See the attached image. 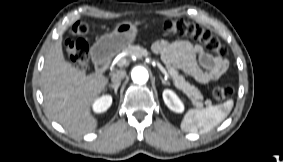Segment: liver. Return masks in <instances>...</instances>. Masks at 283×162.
<instances>
[{
    "label": "liver",
    "mask_w": 283,
    "mask_h": 162,
    "mask_svg": "<svg viewBox=\"0 0 283 162\" xmlns=\"http://www.w3.org/2000/svg\"><path fill=\"white\" fill-rule=\"evenodd\" d=\"M108 78L96 72L87 75L64 58L61 41H56L45 57L41 89L49 116L67 131L76 134L92 132L97 119L91 105L105 90Z\"/></svg>",
    "instance_id": "liver-1"
}]
</instances>
